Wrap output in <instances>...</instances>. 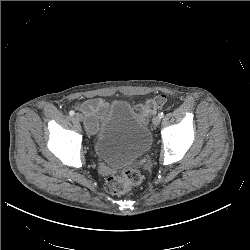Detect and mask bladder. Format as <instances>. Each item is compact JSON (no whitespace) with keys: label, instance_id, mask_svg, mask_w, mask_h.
Listing matches in <instances>:
<instances>
[{"label":"bladder","instance_id":"31cf9c89","mask_svg":"<svg viewBox=\"0 0 250 250\" xmlns=\"http://www.w3.org/2000/svg\"><path fill=\"white\" fill-rule=\"evenodd\" d=\"M151 142L145 121L127 100H117L101 122L92 151L102 161L122 166L142 158L150 149Z\"/></svg>","mask_w":250,"mask_h":250}]
</instances>
